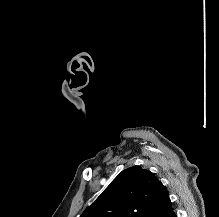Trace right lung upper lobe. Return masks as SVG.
Returning a JSON list of instances; mask_svg holds the SVG:
<instances>
[{"mask_svg":"<svg viewBox=\"0 0 219 217\" xmlns=\"http://www.w3.org/2000/svg\"><path fill=\"white\" fill-rule=\"evenodd\" d=\"M166 187L149 170H123L80 217H165L171 209Z\"/></svg>","mask_w":219,"mask_h":217,"instance_id":"1","label":"right lung upper lobe"}]
</instances>
